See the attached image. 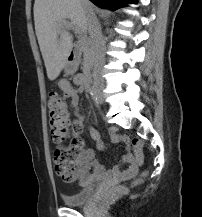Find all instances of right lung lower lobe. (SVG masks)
<instances>
[{
    "label": "right lung lower lobe",
    "instance_id": "obj_1",
    "mask_svg": "<svg viewBox=\"0 0 202 217\" xmlns=\"http://www.w3.org/2000/svg\"><path fill=\"white\" fill-rule=\"evenodd\" d=\"M100 8L116 10L127 3H135V0H90Z\"/></svg>",
    "mask_w": 202,
    "mask_h": 217
}]
</instances>
